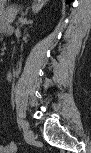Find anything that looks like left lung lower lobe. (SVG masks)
Returning a JSON list of instances; mask_svg holds the SVG:
<instances>
[{
  "label": "left lung lower lobe",
  "instance_id": "0a47b994",
  "mask_svg": "<svg viewBox=\"0 0 91 153\" xmlns=\"http://www.w3.org/2000/svg\"><path fill=\"white\" fill-rule=\"evenodd\" d=\"M67 1V3H69V2H71V1H73V0H66Z\"/></svg>",
  "mask_w": 91,
  "mask_h": 153
}]
</instances>
